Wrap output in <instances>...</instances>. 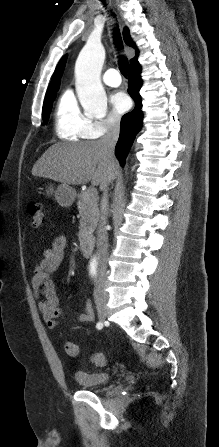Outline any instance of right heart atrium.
<instances>
[{"label": "right heart atrium", "mask_w": 219, "mask_h": 447, "mask_svg": "<svg viewBox=\"0 0 219 447\" xmlns=\"http://www.w3.org/2000/svg\"><path fill=\"white\" fill-rule=\"evenodd\" d=\"M122 118L116 112L109 113L104 119L94 122V132L97 137L103 136L109 132L118 129Z\"/></svg>", "instance_id": "obj_1"}]
</instances>
